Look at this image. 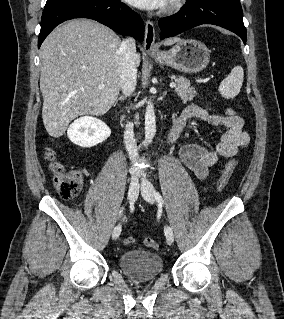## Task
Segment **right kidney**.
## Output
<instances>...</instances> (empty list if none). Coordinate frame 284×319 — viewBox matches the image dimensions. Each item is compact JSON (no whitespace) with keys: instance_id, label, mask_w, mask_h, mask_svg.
<instances>
[{"instance_id":"obj_1","label":"right kidney","mask_w":284,"mask_h":319,"mask_svg":"<svg viewBox=\"0 0 284 319\" xmlns=\"http://www.w3.org/2000/svg\"><path fill=\"white\" fill-rule=\"evenodd\" d=\"M110 134V128L103 121L92 116H83L76 119L67 132L71 142L84 148L102 143Z\"/></svg>"}]
</instances>
